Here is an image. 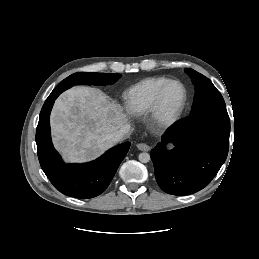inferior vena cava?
<instances>
[{"instance_id": "602c4592", "label": "inferior vena cava", "mask_w": 259, "mask_h": 259, "mask_svg": "<svg viewBox=\"0 0 259 259\" xmlns=\"http://www.w3.org/2000/svg\"><path fill=\"white\" fill-rule=\"evenodd\" d=\"M129 135H130V127L124 126L120 130L113 132L111 134H108L106 136V140L110 141L112 143H118V142L123 141Z\"/></svg>"}]
</instances>
